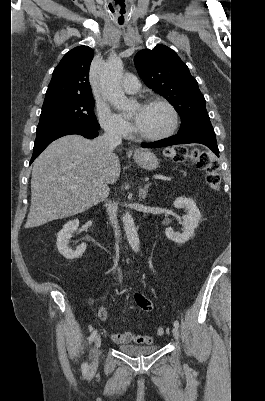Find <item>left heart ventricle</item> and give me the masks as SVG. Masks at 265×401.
Instances as JSON below:
<instances>
[{
    "label": "left heart ventricle",
    "instance_id": "left-heart-ventricle-1",
    "mask_svg": "<svg viewBox=\"0 0 265 401\" xmlns=\"http://www.w3.org/2000/svg\"><path fill=\"white\" fill-rule=\"evenodd\" d=\"M137 133L155 135L167 128L171 121L170 112L162 105L138 106L135 111Z\"/></svg>",
    "mask_w": 265,
    "mask_h": 401
}]
</instances>
